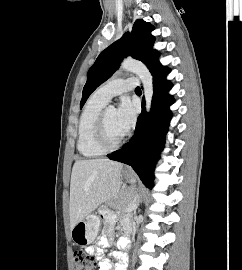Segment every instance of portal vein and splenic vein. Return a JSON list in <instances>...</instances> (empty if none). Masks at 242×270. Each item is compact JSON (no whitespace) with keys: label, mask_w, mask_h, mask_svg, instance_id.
Masks as SVG:
<instances>
[{"label":"portal vein and splenic vein","mask_w":242,"mask_h":270,"mask_svg":"<svg viewBox=\"0 0 242 270\" xmlns=\"http://www.w3.org/2000/svg\"><path fill=\"white\" fill-rule=\"evenodd\" d=\"M135 207H136V204H132L125 211L126 212L132 211L133 209H135Z\"/></svg>","instance_id":"1"}]
</instances>
